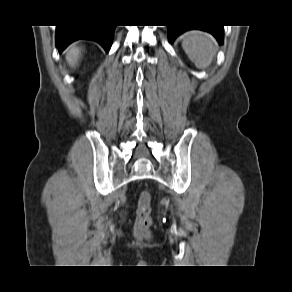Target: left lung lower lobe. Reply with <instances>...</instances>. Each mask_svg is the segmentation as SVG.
<instances>
[{"label": "left lung lower lobe", "instance_id": "left-lung-lower-lobe-1", "mask_svg": "<svg viewBox=\"0 0 292 292\" xmlns=\"http://www.w3.org/2000/svg\"><path fill=\"white\" fill-rule=\"evenodd\" d=\"M190 29H200L210 32L220 44L223 42V26L212 25H170L168 26L169 41L172 43L178 35Z\"/></svg>", "mask_w": 292, "mask_h": 292}]
</instances>
